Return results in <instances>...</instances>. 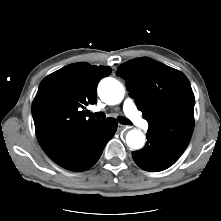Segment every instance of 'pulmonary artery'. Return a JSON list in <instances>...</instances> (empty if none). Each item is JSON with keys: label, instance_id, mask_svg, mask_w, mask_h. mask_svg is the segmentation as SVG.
I'll list each match as a JSON object with an SVG mask.
<instances>
[{"label": "pulmonary artery", "instance_id": "obj_1", "mask_svg": "<svg viewBox=\"0 0 221 221\" xmlns=\"http://www.w3.org/2000/svg\"><path fill=\"white\" fill-rule=\"evenodd\" d=\"M123 110L126 116L138 127L140 128H148L149 124L146 120H144L136 106L134 101L131 98H126L123 104Z\"/></svg>", "mask_w": 221, "mask_h": 221}]
</instances>
